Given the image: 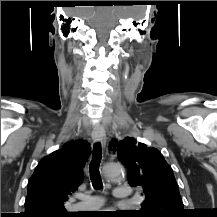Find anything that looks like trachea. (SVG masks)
Here are the masks:
<instances>
[{"instance_id": "1", "label": "trachea", "mask_w": 217, "mask_h": 217, "mask_svg": "<svg viewBox=\"0 0 217 217\" xmlns=\"http://www.w3.org/2000/svg\"><path fill=\"white\" fill-rule=\"evenodd\" d=\"M101 157H102L101 145L100 143H97L94 146L92 161L89 167L90 179L95 189H101L103 187L100 172H99V164H100Z\"/></svg>"}]
</instances>
